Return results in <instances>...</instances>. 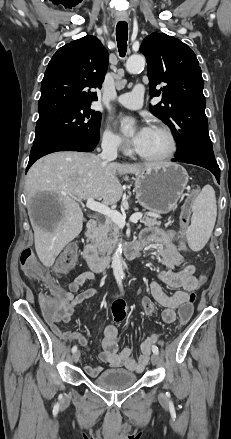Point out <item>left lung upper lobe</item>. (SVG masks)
Masks as SVG:
<instances>
[{
  "label": "left lung upper lobe",
  "instance_id": "left-lung-upper-lobe-1",
  "mask_svg": "<svg viewBox=\"0 0 231 439\" xmlns=\"http://www.w3.org/2000/svg\"><path fill=\"white\" fill-rule=\"evenodd\" d=\"M148 64L153 115L167 124L177 140L176 155L205 152L214 155L205 115L204 81L195 53L185 43L164 33L147 36L140 47Z\"/></svg>",
  "mask_w": 231,
  "mask_h": 439
}]
</instances>
